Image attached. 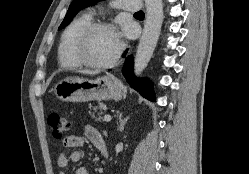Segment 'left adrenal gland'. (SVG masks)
<instances>
[{
  "instance_id": "obj_1",
  "label": "left adrenal gland",
  "mask_w": 249,
  "mask_h": 174,
  "mask_svg": "<svg viewBox=\"0 0 249 174\" xmlns=\"http://www.w3.org/2000/svg\"><path fill=\"white\" fill-rule=\"evenodd\" d=\"M128 119H129V117H126L125 119H123L122 113H120V115H119V131L120 132H122L124 130V126H125Z\"/></svg>"
}]
</instances>
